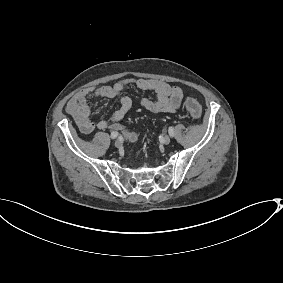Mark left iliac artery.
<instances>
[{
  "mask_svg": "<svg viewBox=\"0 0 283 283\" xmlns=\"http://www.w3.org/2000/svg\"><path fill=\"white\" fill-rule=\"evenodd\" d=\"M168 132H169V135H170L171 137H173V136H174V130H173V128H172V127H169Z\"/></svg>",
  "mask_w": 283,
  "mask_h": 283,
  "instance_id": "1",
  "label": "left iliac artery"
}]
</instances>
